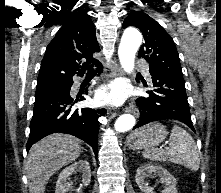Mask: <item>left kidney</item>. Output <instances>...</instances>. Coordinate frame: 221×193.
<instances>
[{"instance_id": "1", "label": "left kidney", "mask_w": 221, "mask_h": 193, "mask_svg": "<svg viewBox=\"0 0 221 193\" xmlns=\"http://www.w3.org/2000/svg\"><path fill=\"white\" fill-rule=\"evenodd\" d=\"M152 172L157 173L161 178L160 182L165 185V189L162 193H177L176 184L177 181L166 169L161 166L142 165L136 171V183L140 190L144 193H154L153 188L148 186L145 182V178Z\"/></svg>"}]
</instances>
